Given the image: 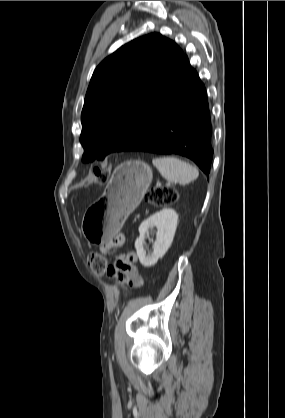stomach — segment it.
Returning a JSON list of instances; mask_svg holds the SVG:
<instances>
[{"mask_svg": "<svg viewBox=\"0 0 285 418\" xmlns=\"http://www.w3.org/2000/svg\"><path fill=\"white\" fill-rule=\"evenodd\" d=\"M152 169L140 160L118 165L103 196L85 213L82 232L91 243H103L119 232L152 182Z\"/></svg>", "mask_w": 285, "mask_h": 418, "instance_id": "0dacf381", "label": "stomach"}]
</instances>
